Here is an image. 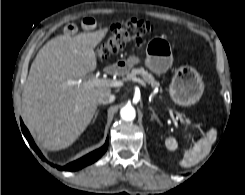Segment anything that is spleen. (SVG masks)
<instances>
[{
  "mask_svg": "<svg viewBox=\"0 0 245 195\" xmlns=\"http://www.w3.org/2000/svg\"><path fill=\"white\" fill-rule=\"evenodd\" d=\"M215 139L216 131L211 130L205 138L199 140L187 153L186 158L181 162V166L191 167L197 164L210 152L211 145ZM165 144L170 150H175L177 148V141L173 137L166 139Z\"/></svg>",
  "mask_w": 245,
  "mask_h": 195,
  "instance_id": "obj_1",
  "label": "spleen"
}]
</instances>
